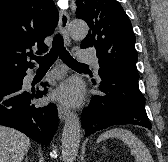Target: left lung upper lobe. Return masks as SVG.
Listing matches in <instances>:
<instances>
[{
  "instance_id": "obj_1",
  "label": "left lung upper lobe",
  "mask_w": 168,
  "mask_h": 162,
  "mask_svg": "<svg viewBox=\"0 0 168 162\" xmlns=\"http://www.w3.org/2000/svg\"><path fill=\"white\" fill-rule=\"evenodd\" d=\"M76 17L83 19L90 30L81 48L96 49L99 74L116 72L139 79L136 69V37L130 19L116 0H76Z\"/></svg>"
}]
</instances>
